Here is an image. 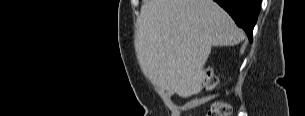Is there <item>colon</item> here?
<instances>
[{"label": "colon", "mask_w": 305, "mask_h": 116, "mask_svg": "<svg viewBox=\"0 0 305 116\" xmlns=\"http://www.w3.org/2000/svg\"><path fill=\"white\" fill-rule=\"evenodd\" d=\"M203 86L208 91H213L217 87V79L214 77L211 69L205 68L202 73ZM232 113V107L224 102H214L208 110L206 116H229Z\"/></svg>", "instance_id": "1"}]
</instances>
